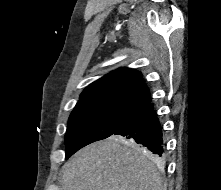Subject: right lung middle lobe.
<instances>
[{
	"instance_id": "obj_1",
	"label": "right lung middle lobe",
	"mask_w": 221,
	"mask_h": 190,
	"mask_svg": "<svg viewBox=\"0 0 221 190\" xmlns=\"http://www.w3.org/2000/svg\"><path fill=\"white\" fill-rule=\"evenodd\" d=\"M135 111L116 104L76 106L68 121L65 159L80 148L113 135Z\"/></svg>"
}]
</instances>
